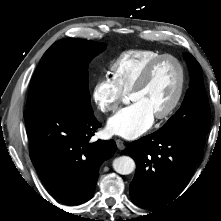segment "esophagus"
Here are the masks:
<instances>
[{
    "label": "esophagus",
    "instance_id": "34e87169",
    "mask_svg": "<svg viewBox=\"0 0 221 221\" xmlns=\"http://www.w3.org/2000/svg\"><path fill=\"white\" fill-rule=\"evenodd\" d=\"M116 145H117L118 149H120V150H124L125 149V144L120 139H116Z\"/></svg>",
    "mask_w": 221,
    "mask_h": 221
}]
</instances>
